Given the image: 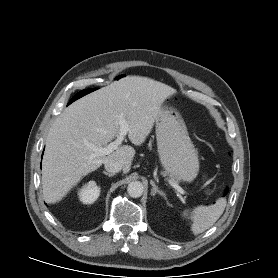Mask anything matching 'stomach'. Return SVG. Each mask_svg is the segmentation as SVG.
Returning a JSON list of instances; mask_svg holds the SVG:
<instances>
[{"label":"stomach","instance_id":"obj_1","mask_svg":"<svg viewBox=\"0 0 278 278\" xmlns=\"http://www.w3.org/2000/svg\"><path fill=\"white\" fill-rule=\"evenodd\" d=\"M156 138L165 174L178 181L192 182L199 172L198 155L176 110L161 107L156 118Z\"/></svg>","mask_w":278,"mask_h":278}]
</instances>
